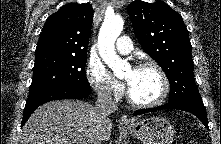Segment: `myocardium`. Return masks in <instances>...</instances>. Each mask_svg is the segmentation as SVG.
Segmentation results:
<instances>
[{
  "label": "myocardium",
  "mask_w": 221,
  "mask_h": 144,
  "mask_svg": "<svg viewBox=\"0 0 221 144\" xmlns=\"http://www.w3.org/2000/svg\"><path fill=\"white\" fill-rule=\"evenodd\" d=\"M145 68H152L154 69L160 76L161 82H162V90L160 95L153 101H149V102H140L138 100H136L130 89H127V99L129 101V103L135 107H139V108H152V107H156L160 104H162L166 98L168 97L169 91H170V83H169V79L167 77V74L165 73V71L163 70V68L155 63V62H151V61H146V62H142L140 63L136 69H145Z\"/></svg>",
  "instance_id": "obj_1"
}]
</instances>
